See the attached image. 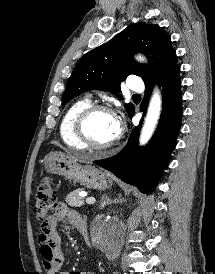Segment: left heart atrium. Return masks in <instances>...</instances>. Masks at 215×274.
<instances>
[{
	"instance_id": "left-heart-atrium-1",
	"label": "left heart atrium",
	"mask_w": 215,
	"mask_h": 274,
	"mask_svg": "<svg viewBox=\"0 0 215 274\" xmlns=\"http://www.w3.org/2000/svg\"><path fill=\"white\" fill-rule=\"evenodd\" d=\"M116 126H117V129H118V132H120V130H121V121L118 118H116Z\"/></svg>"
}]
</instances>
